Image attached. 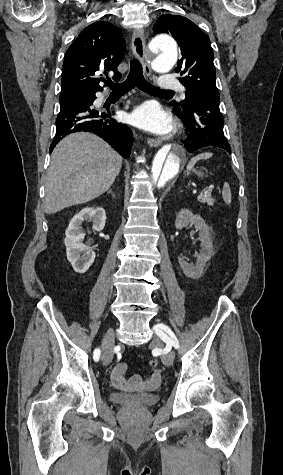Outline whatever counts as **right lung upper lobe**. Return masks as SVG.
Returning a JSON list of instances; mask_svg holds the SVG:
<instances>
[{
  "mask_svg": "<svg viewBox=\"0 0 283 475\" xmlns=\"http://www.w3.org/2000/svg\"><path fill=\"white\" fill-rule=\"evenodd\" d=\"M124 45L120 30L111 23L101 21L86 27L66 52L61 89L102 91L101 78L95 76L98 72L120 79L117 67L125 55Z\"/></svg>",
  "mask_w": 283,
  "mask_h": 475,
  "instance_id": "obj_1",
  "label": "right lung upper lobe"
}]
</instances>
